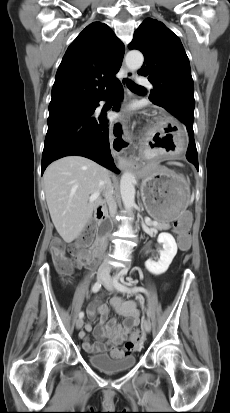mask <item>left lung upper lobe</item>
<instances>
[{"label":"left lung upper lobe","mask_w":230,"mask_h":413,"mask_svg":"<svg viewBox=\"0 0 230 413\" xmlns=\"http://www.w3.org/2000/svg\"><path fill=\"white\" fill-rule=\"evenodd\" d=\"M130 50L138 49L144 63L138 74L153 85L149 99L187 127H193L194 83L189 59L179 39L162 22L147 18L134 33Z\"/></svg>","instance_id":"obj_1"}]
</instances>
